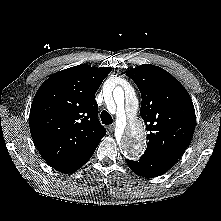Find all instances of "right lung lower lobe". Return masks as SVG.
<instances>
[{
	"label": "right lung lower lobe",
	"mask_w": 221,
	"mask_h": 221,
	"mask_svg": "<svg viewBox=\"0 0 221 221\" xmlns=\"http://www.w3.org/2000/svg\"><path fill=\"white\" fill-rule=\"evenodd\" d=\"M98 145H95L88 150L84 151L83 153L79 154L77 157L73 158L72 160L55 167V170L62 172V173H72L77 171L80 167H82L93 155L95 149Z\"/></svg>",
	"instance_id": "obj_1"
}]
</instances>
